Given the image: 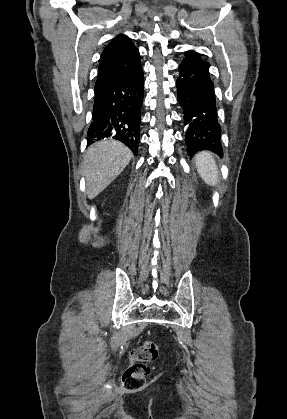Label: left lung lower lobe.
I'll list each match as a JSON object with an SVG mask.
<instances>
[{"label":"left lung lower lobe","instance_id":"left-lung-lower-lobe-1","mask_svg":"<svg viewBox=\"0 0 287 419\" xmlns=\"http://www.w3.org/2000/svg\"><path fill=\"white\" fill-rule=\"evenodd\" d=\"M209 63L185 58L179 66L176 86L178 101L183 108L187 153L211 150L222 156L221 128L218 123L213 82Z\"/></svg>","mask_w":287,"mask_h":419}]
</instances>
